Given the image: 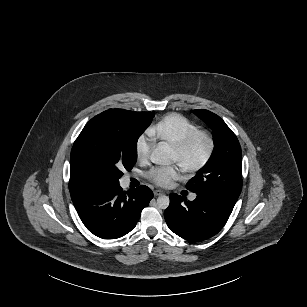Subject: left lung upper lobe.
<instances>
[{"label": "left lung upper lobe", "mask_w": 307, "mask_h": 307, "mask_svg": "<svg viewBox=\"0 0 307 307\" xmlns=\"http://www.w3.org/2000/svg\"><path fill=\"white\" fill-rule=\"evenodd\" d=\"M193 112L211 127L214 150L186 188L197 195L235 205L242 189V153L238 139L216 114L208 110Z\"/></svg>", "instance_id": "1"}]
</instances>
